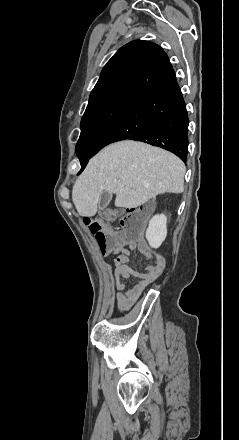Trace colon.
<instances>
[{
    "instance_id": "5ec220e1",
    "label": "colon",
    "mask_w": 239,
    "mask_h": 440,
    "mask_svg": "<svg viewBox=\"0 0 239 440\" xmlns=\"http://www.w3.org/2000/svg\"><path fill=\"white\" fill-rule=\"evenodd\" d=\"M134 212L135 209H131L119 215L121 228L117 231L109 228L104 218L84 219V223L95 237L102 254L118 252L124 245L134 243L139 239L142 224L139 216ZM116 216L115 213H108L106 219H114Z\"/></svg>"
}]
</instances>
